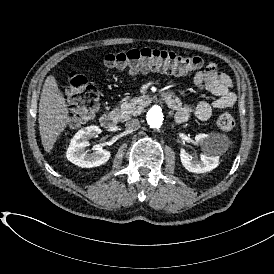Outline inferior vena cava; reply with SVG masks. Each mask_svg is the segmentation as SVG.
<instances>
[{"mask_svg":"<svg viewBox=\"0 0 274 274\" xmlns=\"http://www.w3.org/2000/svg\"><path fill=\"white\" fill-rule=\"evenodd\" d=\"M125 127L128 130H138L141 127V124L138 119H129L126 121Z\"/></svg>","mask_w":274,"mask_h":274,"instance_id":"obj_1","label":"inferior vena cava"}]
</instances>
